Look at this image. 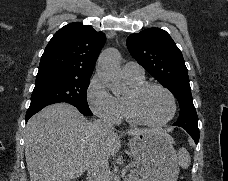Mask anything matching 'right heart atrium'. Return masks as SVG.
<instances>
[{"label": "right heart atrium", "instance_id": "right-heart-atrium-1", "mask_svg": "<svg viewBox=\"0 0 228 181\" xmlns=\"http://www.w3.org/2000/svg\"><path fill=\"white\" fill-rule=\"evenodd\" d=\"M91 110L101 119L118 124L122 113L118 99L108 91L106 81L102 75L95 76L87 92Z\"/></svg>", "mask_w": 228, "mask_h": 181}]
</instances>
